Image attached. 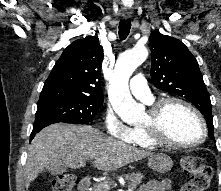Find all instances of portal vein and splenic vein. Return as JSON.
Listing matches in <instances>:
<instances>
[{
    "label": "portal vein and splenic vein",
    "mask_w": 221,
    "mask_h": 191,
    "mask_svg": "<svg viewBox=\"0 0 221 191\" xmlns=\"http://www.w3.org/2000/svg\"><path fill=\"white\" fill-rule=\"evenodd\" d=\"M104 186H105L106 188H108V189L110 188L109 185H107V184H104ZM128 191H132V190L129 189Z\"/></svg>",
    "instance_id": "18ae733b"
}]
</instances>
